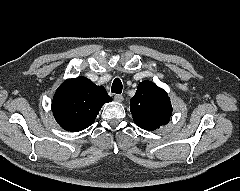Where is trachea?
I'll return each mask as SVG.
<instances>
[{
  "instance_id": "1",
  "label": "trachea",
  "mask_w": 240,
  "mask_h": 191,
  "mask_svg": "<svg viewBox=\"0 0 240 191\" xmlns=\"http://www.w3.org/2000/svg\"><path fill=\"white\" fill-rule=\"evenodd\" d=\"M111 92L116 93V94H121L122 93V82L119 78H116L113 81L112 87H111Z\"/></svg>"
}]
</instances>
